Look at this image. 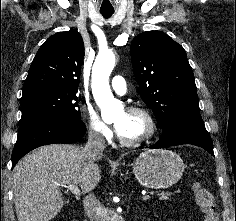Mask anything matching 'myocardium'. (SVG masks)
Listing matches in <instances>:
<instances>
[{
  "mask_svg": "<svg viewBox=\"0 0 236 221\" xmlns=\"http://www.w3.org/2000/svg\"><path fill=\"white\" fill-rule=\"evenodd\" d=\"M126 112L141 114L142 116H144L148 122L149 128H148V132L143 137L136 140H126L122 138L118 132L117 137H118L119 142L122 145L127 146V147H136V146L143 145L149 142L150 140H152L157 133L158 125L151 111L142 106H130L126 109Z\"/></svg>",
  "mask_w": 236,
  "mask_h": 221,
  "instance_id": "1",
  "label": "myocardium"
}]
</instances>
